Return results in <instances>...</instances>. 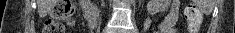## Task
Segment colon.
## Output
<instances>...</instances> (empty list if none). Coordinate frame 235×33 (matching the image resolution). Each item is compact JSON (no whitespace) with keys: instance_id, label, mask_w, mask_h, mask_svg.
I'll return each mask as SVG.
<instances>
[{"instance_id":"5ec220e1","label":"colon","mask_w":235,"mask_h":33,"mask_svg":"<svg viewBox=\"0 0 235 33\" xmlns=\"http://www.w3.org/2000/svg\"><path fill=\"white\" fill-rule=\"evenodd\" d=\"M73 6L70 0H59L50 12V17L45 22L43 33H63L64 26L61 22L72 24L73 22ZM185 18L188 22L189 31L196 33L202 18V14L198 7L189 4L185 8Z\"/></svg>"}]
</instances>
